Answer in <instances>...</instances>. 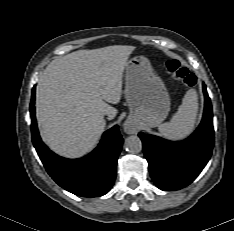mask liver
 Returning a JSON list of instances; mask_svg holds the SVG:
<instances>
[{
	"instance_id": "6515ba94",
	"label": "liver",
	"mask_w": 234,
	"mask_h": 231,
	"mask_svg": "<svg viewBox=\"0 0 234 231\" xmlns=\"http://www.w3.org/2000/svg\"><path fill=\"white\" fill-rule=\"evenodd\" d=\"M135 49L114 45L78 50L51 61L36 89V116L43 141L59 155L77 158L98 142L110 104L121 100L123 72Z\"/></svg>"
}]
</instances>
